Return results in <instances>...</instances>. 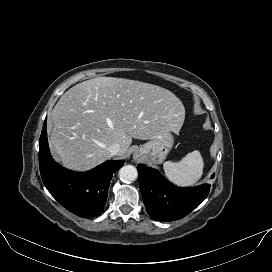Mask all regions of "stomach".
<instances>
[{
	"label": "stomach",
	"instance_id": "obj_1",
	"mask_svg": "<svg viewBox=\"0 0 272 272\" xmlns=\"http://www.w3.org/2000/svg\"><path fill=\"white\" fill-rule=\"evenodd\" d=\"M173 144L174 138L172 131H165L138 147L134 153V157H143L150 163L160 164L166 159Z\"/></svg>",
	"mask_w": 272,
	"mask_h": 272
}]
</instances>
